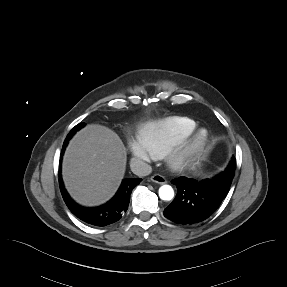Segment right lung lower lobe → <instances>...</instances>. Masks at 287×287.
I'll return each instance as SVG.
<instances>
[{
  "instance_id": "98d812e1",
  "label": "right lung lower lobe",
  "mask_w": 287,
  "mask_h": 287,
  "mask_svg": "<svg viewBox=\"0 0 287 287\" xmlns=\"http://www.w3.org/2000/svg\"><path fill=\"white\" fill-rule=\"evenodd\" d=\"M83 124L85 126V123ZM75 132H70L65 139L59 162V186L64 202L66 203L69 210L78 219L89 225L103 227L115 223L120 220L123 214L127 211L131 192L133 188L139 184L141 178H130L123 180L115 196L109 202L101 206L88 208L77 204L67 193L61 177L62 156L68 141L75 134Z\"/></svg>"
}]
</instances>
